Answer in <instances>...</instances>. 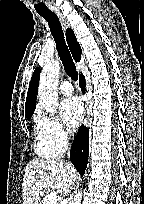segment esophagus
<instances>
[{
  "label": "esophagus",
  "mask_w": 144,
  "mask_h": 204,
  "mask_svg": "<svg viewBox=\"0 0 144 204\" xmlns=\"http://www.w3.org/2000/svg\"><path fill=\"white\" fill-rule=\"evenodd\" d=\"M56 15L58 16L61 25L64 29L69 28V22L66 20V18L59 12L55 11ZM89 123V108H88V102L85 104V115L83 117V126L86 127Z\"/></svg>",
  "instance_id": "obj_1"
}]
</instances>
